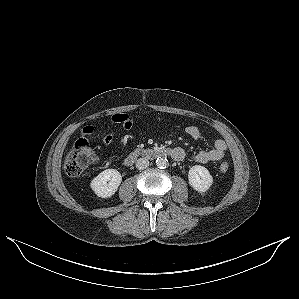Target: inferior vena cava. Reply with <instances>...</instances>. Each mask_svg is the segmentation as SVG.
Returning <instances> with one entry per match:
<instances>
[{
    "mask_svg": "<svg viewBox=\"0 0 299 299\" xmlns=\"http://www.w3.org/2000/svg\"><path fill=\"white\" fill-rule=\"evenodd\" d=\"M149 166V161L147 158H139L137 161H136V168L138 170H144L146 169L147 167Z\"/></svg>",
    "mask_w": 299,
    "mask_h": 299,
    "instance_id": "inferior-vena-cava-1",
    "label": "inferior vena cava"
}]
</instances>
